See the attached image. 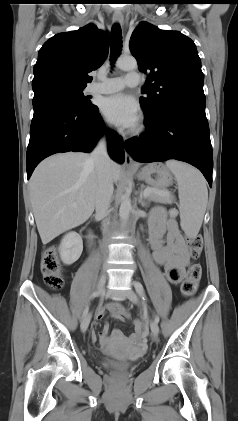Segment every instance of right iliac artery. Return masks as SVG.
<instances>
[{
  "label": "right iliac artery",
  "instance_id": "82829eb1",
  "mask_svg": "<svg viewBox=\"0 0 238 421\" xmlns=\"http://www.w3.org/2000/svg\"><path fill=\"white\" fill-rule=\"evenodd\" d=\"M101 293H102V291H101V292H99V291H95V292L92 294L91 299H94L95 297H98ZM88 311H89V305H87V306L85 307V309H84V311H83V317H85V316L88 314Z\"/></svg>",
  "mask_w": 238,
  "mask_h": 421
}]
</instances>
